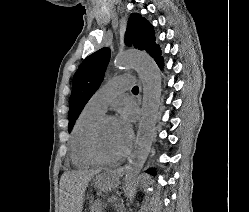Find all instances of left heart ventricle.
<instances>
[{
    "label": "left heart ventricle",
    "instance_id": "b2bd125f",
    "mask_svg": "<svg viewBox=\"0 0 249 212\" xmlns=\"http://www.w3.org/2000/svg\"><path fill=\"white\" fill-rule=\"evenodd\" d=\"M97 148L107 158L116 157L125 151L114 119L105 120L100 126L97 133Z\"/></svg>",
    "mask_w": 249,
    "mask_h": 212
}]
</instances>
